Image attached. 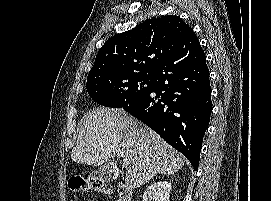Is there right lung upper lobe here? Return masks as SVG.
<instances>
[{"label":"right lung upper lobe","mask_w":271,"mask_h":201,"mask_svg":"<svg viewBox=\"0 0 271 201\" xmlns=\"http://www.w3.org/2000/svg\"><path fill=\"white\" fill-rule=\"evenodd\" d=\"M189 34L195 36L179 16L147 20L132 30L109 38L99 50L88 77L155 74Z\"/></svg>","instance_id":"obj_1"}]
</instances>
